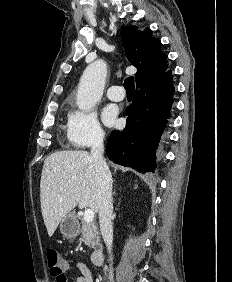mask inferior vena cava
Wrapping results in <instances>:
<instances>
[{
	"label": "inferior vena cava",
	"mask_w": 232,
	"mask_h": 282,
	"mask_svg": "<svg viewBox=\"0 0 232 282\" xmlns=\"http://www.w3.org/2000/svg\"><path fill=\"white\" fill-rule=\"evenodd\" d=\"M104 133L100 132L96 135L91 151L90 159L93 162L96 172L97 182V204L99 211V224L101 235L107 246L108 253L111 254L113 244V227H112V176L106 161L103 158L104 153ZM112 255L110 261H112ZM110 277L112 278V267L110 264Z\"/></svg>",
	"instance_id": "inferior-vena-cava-1"
}]
</instances>
